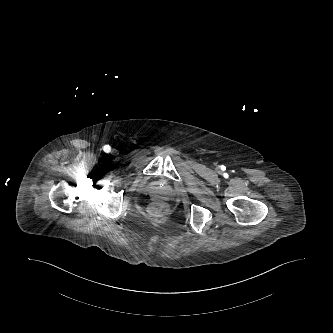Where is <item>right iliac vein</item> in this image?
<instances>
[{
    "instance_id": "right-iliac-vein-1",
    "label": "right iliac vein",
    "mask_w": 333,
    "mask_h": 333,
    "mask_svg": "<svg viewBox=\"0 0 333 333\" xmlns=\"http://www.w3.org/2000/svg\"><path fill=\"white\" fill-rule=\"evenodd\" d=\"M112 152L115 153V150L113 149Z\"/></svg>"
}]
</instances>
